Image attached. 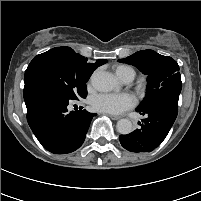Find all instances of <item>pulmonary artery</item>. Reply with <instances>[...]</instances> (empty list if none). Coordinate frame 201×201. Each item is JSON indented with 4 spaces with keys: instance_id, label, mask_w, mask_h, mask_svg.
Wrapping results in <instances>:
<instances>
[{
    "instance_id": "obj_1",
    "label": "pulmonary artery",
    "mask_w": 201,
    "mask_h": 201,
    "mask_svg": "<svg viewBox=\"0 0 201 201\" xmlns=\"http://www.w3.org/2000/svg\"><path fill=\"white\" fill-rule=\"evenodd\" d=\"M123 81L126 82V83H129V82L132 81V78H127V79H125V80H123Z\"/></svg>"
}]
</instances>
